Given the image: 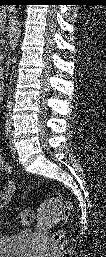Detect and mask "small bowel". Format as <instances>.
Returning <instances> with one entry per match:
<instances>
[{"mask_svg":"<svg viewBox=\"0 0 106 257\" xmlns=\"http://www.w3.org/2000/svg\"><path fill=\"white\" fill-rule=\"evenodd\" d=\"M0 172L1 174H7L11 172L10 165L4 161L3 159H0ZM15 190V183L13 181H7L3 184L0 194V205L3 206L7 204V202L10 200L13 192Z\"/></svg>","mask_w":106,"mask_h":257,"instance_id":"c3829d8e","label":"small bowel"}]
</instances>
